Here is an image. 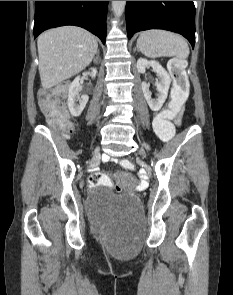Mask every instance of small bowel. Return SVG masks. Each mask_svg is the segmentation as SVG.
I'll list each match as a JSON object with an SVG mask.
<instances>
[{
	"mask_svg": "<svg viewBox=\"0 0 233 295\" xmlns=\"http://www.w3.org/2000/svg\"><path fill=\"white\" fill-rule=\"evenodd\" d=\"M175 122H176L177 124H180V122H181V117L178 116V117L175 119Z\"/></svg>",
	"mask_w": 233,
	"mask_h": 295,
	"instance_id": "1",
	"label": "small bowel"
}]
</instances>
